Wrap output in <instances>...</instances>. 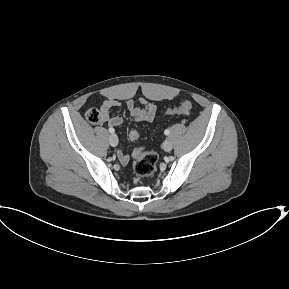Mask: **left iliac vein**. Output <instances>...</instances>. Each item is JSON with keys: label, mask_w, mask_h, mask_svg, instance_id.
<instances>
[{"label": "left iliac vein", "mask_w": 289, "mask_h": 289, "mask_svg": "<svg viewBox=\"0 0 289 289\" xmlns=\"http://www.w3.org/2000/svg\"><path fill=\"white\" fill-rule=\"evenodd\" d=\"M173 148V144L169 139H166L163 143V149L167 152H170Z\"/></svg>", "instance_id": "1"}]
</instances>
